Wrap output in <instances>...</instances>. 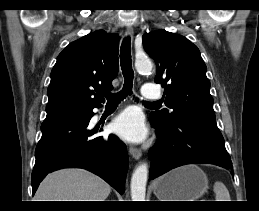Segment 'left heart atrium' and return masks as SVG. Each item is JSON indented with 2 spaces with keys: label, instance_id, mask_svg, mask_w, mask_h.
Wrapping results in <instances>:
<instances>
[{
  "label": "left heart atrium",
  "instance_id": "39dd6f15",
  "mask_svg": "<svg viewBox=\"0 0 259 211\" xmlns=\"http://www.w3.org/2000/svg\"><path fill=\"white\" fill-rule=\"evenodd\" d=\"M111 127L118 136L129 142H141L147 135L143 117L134 109H127L119 114Z\"/></svg>",
  "mask_w": 259,
  "mask_h": 211
}]
</instances>
